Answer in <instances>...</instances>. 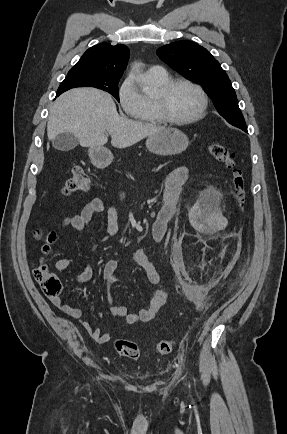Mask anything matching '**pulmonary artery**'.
Wrapping results in <instances>:
<instances>
[{
  "instance_id": "obj_1",
  "label": "pulmonary artery",
  "mask_w": 287,
  "mask_h": 434,
  "mask_svg": "<svg viewBox=\"0 0 287 434\" xmlns=\"http://www.w3.org/2000/svg\"><path fill=\"white\" fill-rule=\"evenodd\" d=\"M165 73H166L165 70L161 66H158V65L152 66L148 70V74H150L152 76H156V77L163 76Z\"/></svg>"
}]
</instances>
